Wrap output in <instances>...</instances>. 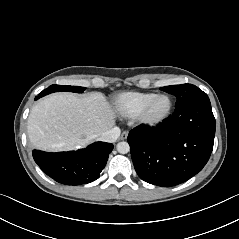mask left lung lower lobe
<instances>
[{"instance_id": "1", "label": "left lung lower lobe", "mask_w": 239, "mask_h": 239, "mask_svg": "<svg viewBox=\"0 0 239 239\" xmlns=\"http://www.w3.org/2000/svg\"><path fill=\"white\" fill-rule=\"evenodd\" d=\"M215 125L206 95L175 107L174 113L156 127L134 128L127 139L137 174L164 187L187 181L209 160Z\"/></svg>"}]
</instances>
